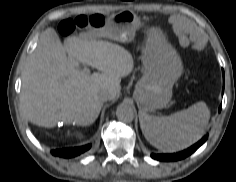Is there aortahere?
<instances>
[{"mask_svg": "<svg viewBox=\"0 0 236 182\" xmlns=\"http://www.w3.org/2000/svg\"><path fill=\"white\" fill-rule=\"evenodd\" d=\"M116 116H117L118 120L125 122V123H129V122L133 121V119H134L133 108L131 106H129L128 104L122 103L117 107Z\"/></svg>", "mask_w": 236, "mask_h": 182, "instance_id": "762f6f07", "label": "aorta"}]
</instances>
